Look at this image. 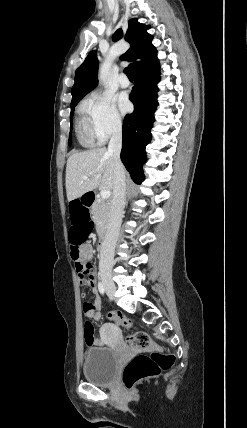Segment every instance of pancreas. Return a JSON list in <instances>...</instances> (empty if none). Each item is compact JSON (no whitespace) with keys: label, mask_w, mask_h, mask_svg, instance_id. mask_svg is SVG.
<instances>
[{"label":"pancreas","mask_w":247,"mask_h":428,"mask_svg":"<svg viewBox=\"0 0 247 428\" xmlns=\"http://www.w3.org/2000/svg\"><path fill=\"white\" fill-rule=\"evenodd\" d=\"M92 214L97 224V229L106 228L109 221V203L99 197L92 207Z\"/></svg>","instance_id":"1"}]
</instances>
